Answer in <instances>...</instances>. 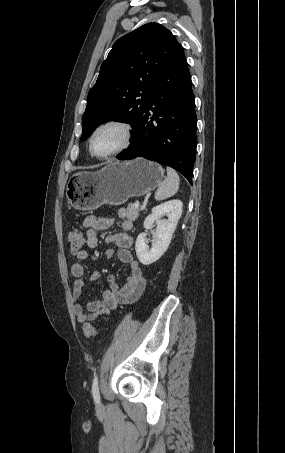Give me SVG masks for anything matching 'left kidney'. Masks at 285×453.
Listing matches in <instances>:
<instances>
[{"mask_svg": "<svg viewBox=\"0 0 285 453\" xmlns=\"http://www.w3.org/2000/svg\"><path fill=\"white\" fill-rule=\"evenodd\" d=\"M183 204L180 200H170L152 208L144 221V228L148 230L154 223L157 225L154 242L149 247L146 242V233L138 235L135 243L136 255L143 265L156 262L167 250L177 223L182 214ZM167 216L166 219H162Z\"/></svg>", "mask_w": 285, "mask_h": 453, "instance_id": "obj_1", "label": "left kidney"}]
</instances>
